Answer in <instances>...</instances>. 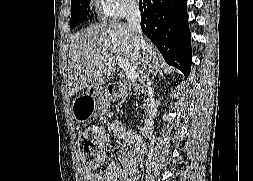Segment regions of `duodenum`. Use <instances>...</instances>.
I'll list each match as a JSON object with an SVG mask.
<instances>
[{"mask_svg": "<svg viewBox=\"0 0 253 181\" xmlns=\"http://www.w3.org/2000/svg\"><path fill=\"white\" fill-rule=\"evenodd\" d=\"M109 95L112 97H120L122 95H125V89L121 85H111L108 88ZM150 127L149 124L146 123L145 129L143 130V133H147L149 131Z\"/></svg>", "mask_w": 253, "mask_h": 181, "instance_id": "obj_1", "label": "duodenum"}]
</instances>
